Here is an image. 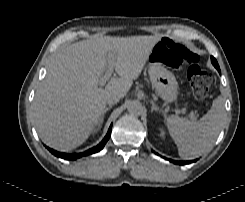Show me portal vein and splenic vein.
Returning <instances> with one entry per match:
<instances>
[{
    "mask_svg": "<svg viewBox=\"0 0 245 202\" xmlns=\"http://www.w3.org/2000/svg\"><path fill=\"white\" fill-rule=\"evenodd\" d=\"M107 60H108L109 66H108L106 73L100 78V82H99L100 86L105 85L106 81L110 78L114 70V55L109 54L107 57ZM189 118L195 119V117L192 114L189 115Z\"/></svg>",
    "mask_w": 245,
    "mask_h": 202,
    "instance_id": "1",
    "label": "portal vein and splenic vein"
}]
</instances>
